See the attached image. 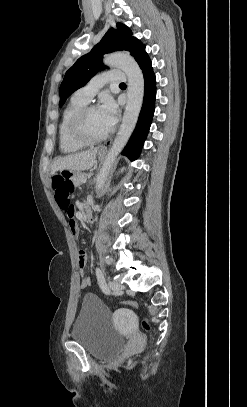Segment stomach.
<instances>
[{
  "label": "stomach",
  "instance_id": "1",
  "mask_svg": "<svg viewBox=\"0 0 247 407\" xmlns=\"http://www.w3.org/2000/svg\"><path fill=\"white\" fill-rule=\"evenodd\" d=\"M103 152H99V157H103ZM79 171L76 166H61L60 167V176L61 178H71L72 180L74 178H78L79 176Z\"/></svg>",
  "mask_w": 247,
  "mask_h": 407
}]
</instances>
